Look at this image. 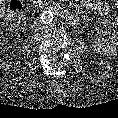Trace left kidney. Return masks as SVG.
<instances>
[{"mask_svg":"<svg viewBox=\"0 0 118 118\" xmlns=\"http://www.w3.org/2000/svg\"><path fill=\"white\" fill-rule=\"evenodd\" d=\"M93 48L98 54L105 56H111L116 51L114 44L104 37L95 38Z\"/></svg>","mask_w":118,"mask_h":118,"instance_id":"obj_1","label":"left kidney"}]
</instances>
